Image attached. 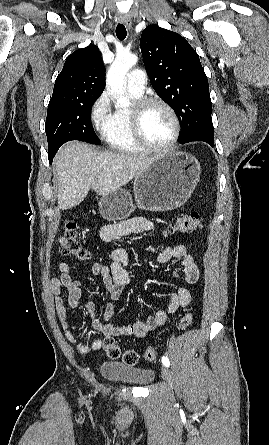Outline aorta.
I'll return each instance as SVG.
<instances>
[{"instance_id": "1", "label": "aorta", "mask_w": 269, "mask_h": 445, "mask_svg": "<svg viewBox=\"0 0 269 445\" xmlns=\"http://www.w3.org/2000/svg\"><path fill=\"white\" fill-rule=\"evenodd\" d=\"M137 61L138 57L134 54H121L116 57L108 70L106 83L111 92L117 96L116 106L119 108H126L130 105L129 99L124 96L123 82L126 73Z\"/></svg>"}]
</instances>
